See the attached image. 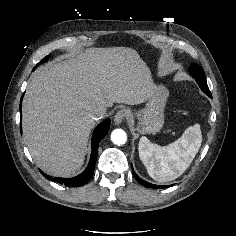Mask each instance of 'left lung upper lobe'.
<instances>
[{
	"label": "left lung upper lobe",
	"mask_w": 236,
	"mask_h": 236,
	"mask_svg": "<svg viewBox=\"0 0 236 236\" xmlns=\"http://www.w3.org/2000/svg\"><path fill=\"white\" fill-rule=\"evenodd\" d=\"M190 74L195 78L196 82L200 86L201 90L206 93L208 96H211V92L208 88L205 73L198 64H191L189 68Z\"/></svg>",
	"instance_id": "left-lung-upper-lobe-1"
}]
</instances>
